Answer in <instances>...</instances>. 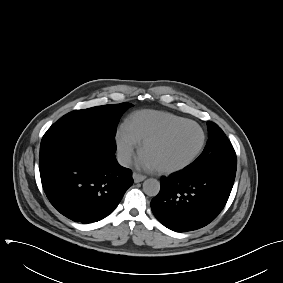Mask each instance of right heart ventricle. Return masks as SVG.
<instances>
[{"instance_id": "obj_1", "label": "right heart ventricle", "mask_w": 283, "mask_h": 283, "mask_svg": "<svg viewBox=\"0 0 283 283\" xmlns=\"http://www.w3.org/2000/svg\"><path fill=\"white\" fill-rule=\"evenodd\" d=\"M182 120L185 119L169 112L139 110L125 119L124 128L137 143H140L145 138Z\"/></svg>"}]
</instances>
